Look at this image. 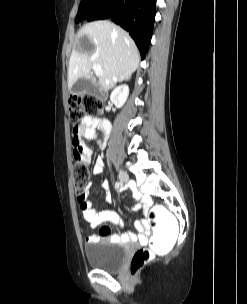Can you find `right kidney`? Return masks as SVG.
<instances>
[{
    "label": "right kidney",
    "mask_w": 247,
    "mask_h": 304,
    "mask_svg": "<svg viewBox=\"0 0 247 304\" xmlns=\"http://www.w3.org/2000/svg\"><path fill=\"white\" fill-rule=\"evenodd\" d=\"M129 95L128 85H120L116 87L110 95L111 102L117 107L121 108L126 102Z\"/></svg>",
    "instance_id": "ca27d5eb"
}]
</instances>
